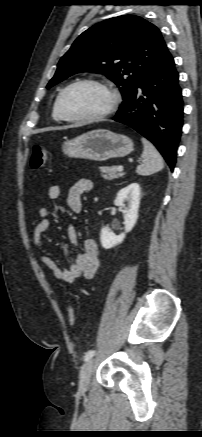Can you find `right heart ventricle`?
<instances>
[{
	"mask_svg": "<svg viewBox=\"0 0 202 437\" xmlns=\"http://www.w3.org/2000/svg\"><path fill=\"white\" fill-rule=\"evenodd\" d=\"M57 98H58V96L56 97V99H55V101H54V103H53V108H52V117H53V119L56 120V121H62L63 119H62V117L60 116V114H59V112H58V109H57Z\"/></svg>",
	"mask_w": 202,
	"mask_h": 437,
	"instance_id": "right-heart-ventricle-1",
	"label": "right heart ventricle"
}]
</instances>
